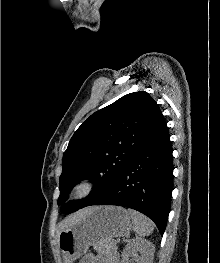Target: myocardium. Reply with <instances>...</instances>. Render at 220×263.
<instances>
[{"label":"myocardium","instance_id":"obj_1","mask_svg":"<svg viewBox=\"0 0 220 263\" xmlns=\"http://www.w3.org/2000/svg\"><path fill=\"white\" fill-rule=\"evenodd\" d=\"M99 182L95 177L84 176L74 182L69 191V198L72 201L82 200L96 191Z\"/></svg>","mask_w":220,"mask_h":263}]
</instances>
